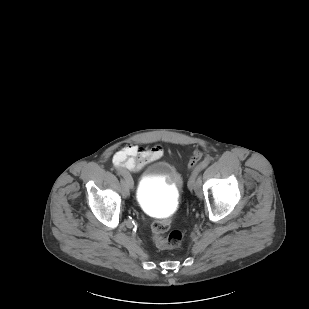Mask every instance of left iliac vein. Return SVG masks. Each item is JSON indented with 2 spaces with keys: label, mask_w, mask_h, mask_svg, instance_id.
<instances>
[{
  "label": "left iliac vein",
  "mask_w": 309,
  "mask_h": 309,
  "mask_svg": "<svg viewBox=\"0 0 309 309\" xmlns=\"http://www.w3.org/2000/svg\"><path fill=\"white\" fill-rule=\"evenodd\" d=\"M188 188L190 190L194 189L196 196L201 197V195H202L201 187L197 186L196 184L194 185L192 180L189 181Z\"/></svg>",
  "instance_id": "obj_1"
}]
</instances>
